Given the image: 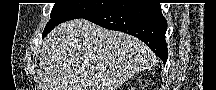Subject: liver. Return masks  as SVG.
Masks as SVG:
<instances>
[{"mask_svg":"<svg viewBox=\"0 0 216 90\" xmlns=\"http://www.w3.org/2000/svg\"><path fill=\"white\" fill-rule=\"evenodd\" d=\"M152 56L134 36L71 20L43 42L42 90H119L127 78L150 66Z\"/></svg>","mask_w":216,"mask_h":90,"instance_id":"6515ba94","label":"liver"}]
</instances>
